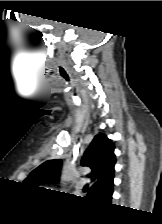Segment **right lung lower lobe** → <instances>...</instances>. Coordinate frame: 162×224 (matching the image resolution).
Here are the masks:
<instances>
[{"mask_svg": "<svg viewBox=\"0 0 162 224\" xmlns=\"http://www.w3.org/2000/svg\"><path fill=\"white\" fill-rule=\"evenodd\" d=\"M111 198H112V194L110 196L104 198V200L107 201V202H109L111 200Z\"/></svg>", "mask_w": 162, "mask_h": 224, "instance_id": "right-lung-lower-lobe-1", "label": "right lung lower lobe"}]
</instances>
